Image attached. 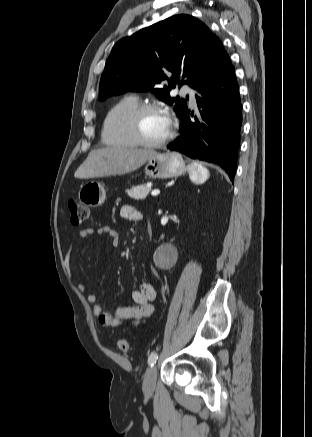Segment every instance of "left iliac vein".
I'll use <instances>...</instances> for the list:
<instances>
[{
    "instance_id": "1",
    "label": "left iliac vein",
    "mask_w": 312,
    "mask_h": 437,
    "mask_svg": "<svg viewBox=\"0 0 312 437\" xmlns=\"http://www.w3.org/2000/svg\"><path fill=\"white\" fill-rule=\"evenodd\" d=\"M156 380H157V368L156 366H152L147 370L143 382V391L146 395L153 394L156 387Z\"/></svg>"
}]
</instances>
